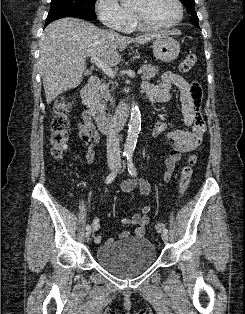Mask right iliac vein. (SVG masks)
I'll return each mask as SVG.
<instances>
[{"label":"right iliac vein","instance_id":"63e3f726","mask_svg":"<svg viewBox=\"0 0 245 314\" xmlns=\"http://www.w3.org/2000/svg\"><path fill=\"white\" fill-rule=\"evenodd\" d=\"M114 167H115V163H114V162H112V163L109 164V168H110L111 170H113ZM90 236H91V230L86 231L85 237H86L87 240L90 239Z\"/></svg>","mask_w":245,"mask_h":314}]
</instances>
